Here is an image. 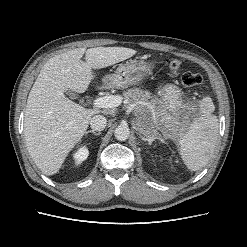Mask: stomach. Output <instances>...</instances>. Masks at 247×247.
Wrapping results in <instances>:
<instances>
[{"instance_id":"0dacf381","label":"stomach","mask_w":247,"mask_h":247,"mask_svg":"<svg viewBox=\"0 0 247 247\" xmlns=\"http://www.w3.org/2000/svg\"><path fill=\"white\" fill-rule=\"evenodd\" d=\"M151 70V65L137 59L127 60L120 64L113 74L106 75L103 83L107 87L127 88L139 83ZM159 102L162 107L169 110V119L155 116L145 107L143 113L138 114L135 125L144 138H149L159 128L165 135L179 138L187 128L180 122L177 110L184 104L182 92L174 84L162 86L158 92Z\"/></svg>"}]
</instances>
